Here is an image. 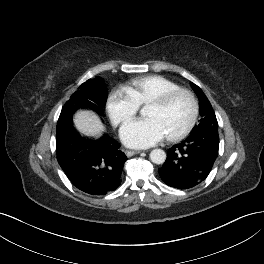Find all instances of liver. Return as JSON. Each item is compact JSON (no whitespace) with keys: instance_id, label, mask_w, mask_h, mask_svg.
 Masks as SVG:
<instances>
[{"instance_id":"obj_1","label":"liver","mask_w":264,"mask_h":264,"mask_svg":"<svg viewBox=\"0 0 264 264\" xmlns=\"http://www.w3.org/2000/svg\"><path fill=\"white\" fill-rule=\"evenodd\" d=\"M76 128L87 136L98 137L104 130L99 117L89 110H80L74 116Z\"/></svg>"}]
</instances>
